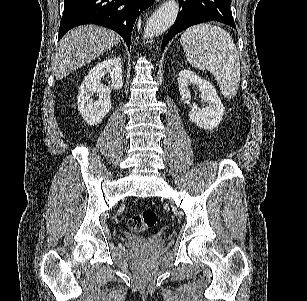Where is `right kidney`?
Masks as SVG:
<instances>
[{
	"label": "right kidney",
	"mask_w": 307,
	"mask_h": 301,
	"mask_svg": "<svg viewBox=\"0 0 307 301\" xmlns=\"http://www.w3.org/2000/svg\"><path fill=\"white\" fill-rule=\"evenodd\" d=\"M109 72L106 78L109 84L101 82L105 74ZM123 88L122 60L120 56H111L107 60L98 62L89 70L87 76L82 80L77 94V106L80 114H82L85 122L96 126L100 124L102 118L109 112L112 90ZM94 92L99 96L98 100L92 98Z\"/></svg>",
	"instance_id": "ca27d5eb"
}]
</instances>
